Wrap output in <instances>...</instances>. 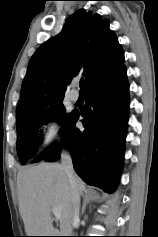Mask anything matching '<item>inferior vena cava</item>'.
<instances>
[{
	"instance_id": "obj_1",
	"label": "inferior vena cava",
	"mask_w": 158,
	"mask_h": 237,
	"mask_svg": "<svg viewBox=\"0 0 158 237\" xmlns=\"http://www.w3.org/2000/svg\"><path fill=\"white\" fill-rule=\"evenodd\" d=\"M61 159L62 166L66 172L70 184L73 205L72 220L73 224H75L79 220L80 194L78 192L77 184L75 181V173L73 169L71 155L68 151L63 150Z\"/></svg>"
}]
</instances>
